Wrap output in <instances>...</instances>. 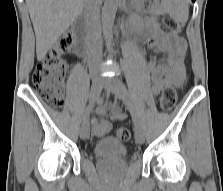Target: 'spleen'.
I'll return each instance as SVG.
<instances>
[{
    "label": "spleen",
    "mask_w": 223,
    "mask_h": 191,
    "mask_svg": "<svg viewBox=\"0 0 223 191\" xmlns=\"http://www.w3.org/2000/svg\"><path fill=\"white\" fill-rule=\"evenodd\" d=\"M171 7L170 13L181 22H186L188 18V5L187 0H169Z\"/></svg>",
    "instance_id": "3e777b00"
}]
</instances>
